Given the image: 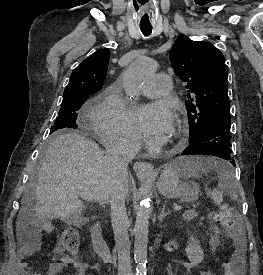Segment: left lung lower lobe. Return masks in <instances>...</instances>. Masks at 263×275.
<instances>
[{"mask_svg":"<svg viewBox=\"0 0 263 275\" xmlns=\"http://www.w3.org/2000/svg\"><path fill=\"white\" fill-rule=\"evenodd\" d=\"M230 128V116L216 118L199 136L189 139V146L181 154L212 155L225 159L235 166L231 151Z\"/></svg>","mask_w":263,"mask_h":275,"instance_id":"obj_1","label":"left lung lower lobe"}]
</instances>
